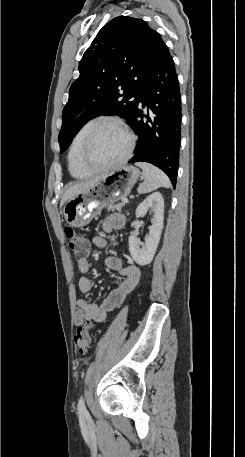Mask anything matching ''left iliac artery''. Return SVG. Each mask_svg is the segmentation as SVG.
I'll list each match as a JSON object with an SVG mask.
<instances>
[{
	"label": "left iliac artery",
	"mask_w": 245,
	"mask_h": 457,
	"mask_svg": "<svg viewBox=\"0 0 245 457\" xmlns=\"http://www.w3.org/2000/svg\"><path fill=\"white\" fill-rule=\"evenodd\" d=\"M78 411L84 415H88V411L85 406L84 398L81 396L78 401Z\"/></svg>",
	"instance_id": "1"
}]
</instances>
